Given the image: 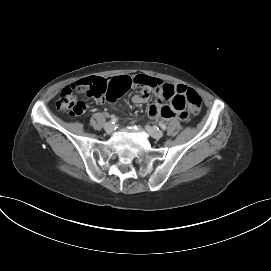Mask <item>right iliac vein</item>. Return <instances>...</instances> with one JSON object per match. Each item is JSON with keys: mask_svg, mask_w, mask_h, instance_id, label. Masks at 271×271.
<instances>
[{"mask_svg": "<svg viewBox=\"0 0 271 271\" xmlns=\"http://www.w3.org/2000/svg\"><path fill=\"white\" fill-rule=\"evenodd\" d=\"M114 129V126L112 123L108 122L104 125V130L107 132V133H111Z\"/></svg>", "mask_w": 271, "mask_h": 271, "instance_id": "right-iliac-vein-1", "label": "right iliac vein"}]
</instances>
